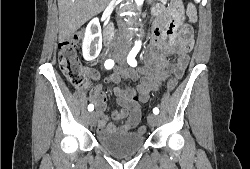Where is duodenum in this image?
<instances>
[{"mask_svg":"<svg viewBox=\"0 0 250 169\" xmlns=\"http://www.w3.org/2000/svg\"><path fill=\"white\" fill-rule=\"evenodd\" d=\"M104 42L108 46H112L114 43V32L112 24L108 21L104 27L103 31Z\"/></svg>","mask_w":250,"mask_h":169,"instance_id":"obj_1","label":"duodenum"}]
</instances>
